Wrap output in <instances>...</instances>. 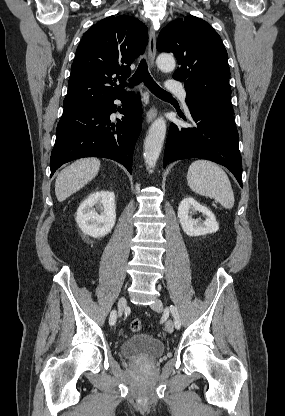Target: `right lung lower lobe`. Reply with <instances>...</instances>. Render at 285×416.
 I'll return each mask as SVG.
<instances>
[{"mask_svg": "<svg viewBox=\"0 0 285 416\" xmlns=\"http://www.w3.org/2000/svg\"><path fill=\"white\" fill-rule=\"evenodd\" d=\"M115 99L124 104V116L116 125L110 121V115L117 110ZM115 99L63 112L50 158L51 176L64 163L83 157L112 159L132 173L134 147L141 130L140 96L125 92Z\"/></svg>", "mask_w": 285, "mask_h": 416, "instance_id": "right-lung-lower-lobe-1", "label": "right lung lower lobe"}]
</instances>
